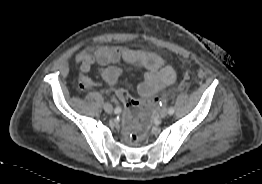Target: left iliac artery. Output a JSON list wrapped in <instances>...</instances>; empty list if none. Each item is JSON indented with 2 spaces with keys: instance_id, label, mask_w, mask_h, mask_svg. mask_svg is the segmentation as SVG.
I'll use <instances>...</instances> for the list:
<instances>
[{
  "instance_id": "obj_1",
  "label": "left iliac artery",
  "mask_w": 262,
  "mask_h": 184,
  "mask_svg": "<svg viewBox=\"0 0 262 184\" xmlns=\"http://www.w3.org/2000/svg\"><path fill=\"white\" fill-rule=\"evenodd\" d=\"M175 112V109L173 107H170L168 110L169 115H173Z\"/></svg>"
}]
</instances>
